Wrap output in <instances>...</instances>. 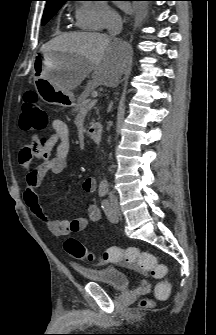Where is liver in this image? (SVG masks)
I'll return each mask as SVG.
<instances>
[{
  "instance_id": "liver-1",
  "label": "liver",
  "mask_w": 216,
  "mask_h": 335,
  "mask_svg": "<svg viewBox=\"0 0 216 335\" xmlns=\"http://www.w3.org/2000/svg\"><path fill=\"white\" fill-rule=\"evenodd\" d=\"M42 53L58 52L71 56L70 67L56 78L63 91L79 86L92 72L88 85L116 87L131 58V46L124 41H112L101 33L71 32L59 35L41 48Z\"/></svg>"
}]
</instances>
